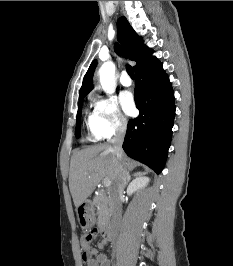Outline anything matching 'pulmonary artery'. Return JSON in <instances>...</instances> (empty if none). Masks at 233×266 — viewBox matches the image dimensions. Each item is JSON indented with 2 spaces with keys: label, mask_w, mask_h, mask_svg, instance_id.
Segmentation results:
<instances>
[{
  "label": "pulmonary artery",
  "mask_w": 233,
  "mask_h": 266,
  "mask_svg": "<svg viewBox=\"0 0 233 266\" xmlns=\"http://www.w3.org/2000/svg\"><path fill=\"white\" fill-rule=\"evenodd\" d=\"M120 83L125 87H129L132 85V80L126 72H123L121 74Z\"/></svg>",
  "instance_id": "pulmonary-artery-1"
}]
</instances>
